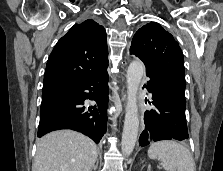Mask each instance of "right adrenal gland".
Returning a JSON list of instances; mask_svg holds the SVG:
<instances>
[{
  "label": "right adrenal gland",
  "mask_w": 223,
  "mask_h": 171,
  "mask_svg": "<svg viewBox=\"0 0 223 171\" xmlns=\"http://www.w3.org/2000/svg\"><path fill=\"white\" fill-rule=\"evenodd\" d=\"M97 166H98V160L96 161V164L90 169V171H92V170L96 171Z\"/></svg>",
  "instance_id": "obj_1"
}]
</instances>
